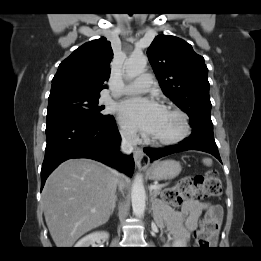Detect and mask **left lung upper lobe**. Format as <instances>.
Here are the masks:
<instances>
[{
    "label": "left lung upper lobe",
    "mask_w": 261,
    "mask_h": 261,
    "mask_svg": "<svg viewBox=\"0 0 261 261\" xmlns=\"http://www.w3.org/2000/svg\"><path fill=\"white\" fill-rule=\"evenodd\" d=\"M147 55L163 93L188 114L191 127L213 128L204 58L186 41L169 35L155 37Z\"/></svg>",
    "instance_id": "left-lung-upper-lobe-1"
}]
</instances>
